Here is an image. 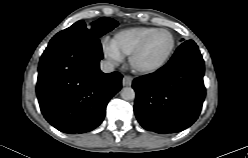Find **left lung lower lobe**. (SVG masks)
Masks as SVG:
<instances>
[{
  "label": "left lung lower lobe",
  "instance_id": "left-lung-lower-lobe-1",
  "mask_svg": "<svg viewBox=\"0 0 248 158\" xmlns=\"http://www.w3.org/2000/svg\"><path fill=\"white\" fill-rule=\"evenodd\" d=\"M203 75L204 61L195 42L189 40L165 66L134 79V112L142 127L166 134L191 126L205 98Z\"/></svg>",
  "mask_w": 248,
  "mask_h": 158
}]
</instances>
